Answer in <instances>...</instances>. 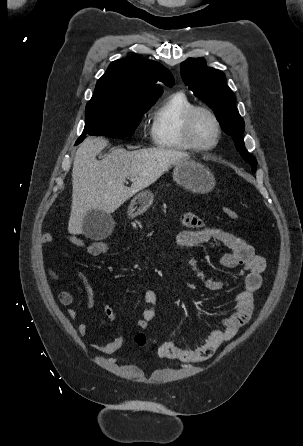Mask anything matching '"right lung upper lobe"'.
Instances as JSON below:
<instances>
[{
    "instance_id": "obj_1",
    "label": "right lung upper lobe",
    "mask_w": 303,
    "mask_h": 446,
    "mask_svg": "<svg viewBox=\"0 0 303 446\" xmlns=\"http://www.w3.org/2000/svg\"><path fill=\"white\" fill-rule=\"evenodd\" d=\"M161 83L174 85L172 74L162 64L139 56L116 60L98 80L86 107L152 106L163 93Z\"/></svg>"
}]
</instances>
